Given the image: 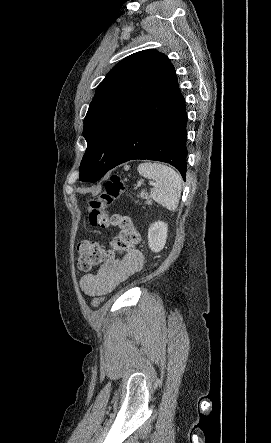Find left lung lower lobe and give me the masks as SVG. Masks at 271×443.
Returning a JSON list of instances; mask_svg holds the SVG:
<instances>
[{
  "label": "left lung lower lobe",
  "mask_w": 271,
  "mask_h": 443,
  "mask_svg": "<svg viewBox=\"0 0 271 443\" xmlns=\"http://www.w3.org/2000/svg\"><path fill=\"white\" fill-rule=\"evenodd\" d=\"M185 99L171 63L149 89L125 130L110 166L134 159L169 163L186 176Z\"/></svg>",
  "instance_id": "0a47b994"
}]
</instances>
